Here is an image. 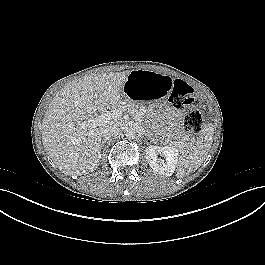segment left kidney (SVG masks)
Instances as JSON below:
<instances>
[{"label": "left kidney", "instance_id": "1", "mask_svg": "<svg viewBox=\"0 0 265 265\" xmlns=\"http://www.w3.org/2000/svg\"><path fill=\"white\" fill-rule=\"evenodd\" d=\"M146 159L149 166L159 174L171 176L176 168L178 162L179 151L174 146H154L150 145L145 150ZM163 155L164 159L158 157Z\"/></svg>", "mask_w": 265, "mask_h": 265}]
</instances>
